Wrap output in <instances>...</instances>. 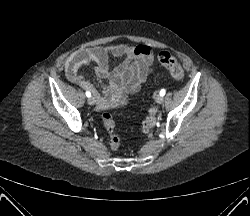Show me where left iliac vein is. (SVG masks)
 Instances as JSON below:
<instances>
[{
  "mask_svg": "<svg viewBox=\"0 0 250 216\" xmlns=\"http://www.w3.org/2000/svg\"><path fill=\"white\" fill-rule=\"evenodd\" d=\"M155 100H156V102H157L158 104H162L163 101H164V98H163V96H161V95H157L156 98H155Z\"/></svg>",
  "mask_w": 250,
  "mask_h": 216,
  "instance_id": "4c4485c4",
  "label": "left iliac vein"
}]
</instances>
